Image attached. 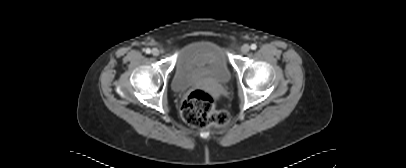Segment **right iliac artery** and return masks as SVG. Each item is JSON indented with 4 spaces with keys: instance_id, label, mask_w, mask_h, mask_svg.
<instances>
[{
    "instance_id": "obj_1",
    "label": "right iliac artery",
    "mask_w": 406,
    "mask_h": 168,
    "mask_svg": "<svg viewBox=\"0 0 406 168\" xmlns=\"http://www.w3.org/2000/svg\"><path fill=\"white\" fill-rule=\"evenodd\" d=\"M145 52H146L147 54H150V53H151V50H150L149 48H147V49L145 50Z\"/></svg>"
}]
</instances>
